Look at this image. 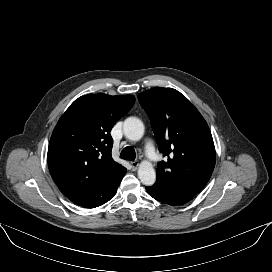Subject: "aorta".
I'll return each instance as SVG.
<instances>
[{"instance_id":"obj_1","label":"aorta","mask_w":272,"mask_h":272,"mask_svg":"<svg viewBox=\"0 0 272 272\" xmlns=\"http://www.w3.org/2000/svg\"><path fill=\"white\" fill-rule=\"evenodd\" d=\"M123 130L126 138L132 141H138L143 137L144 124L139 118L129 117L124 121ZM138 177L146 186H151L155 183L156 172L149 161L140 163Z\"/></svg>"}]
</instances>
